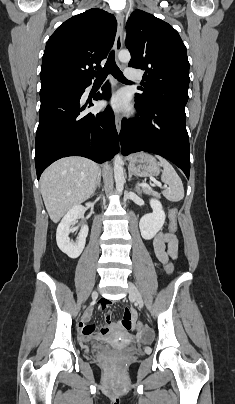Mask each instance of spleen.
Masks as SVG:
<instances>
[{
  "label": "spleen",
  "mask_w": 235,
  "mask_h": 404,
  "mask_svg": "<svg viewBox=\"0 0 235 404\" xmlns=\"http://www.w3.org/2000/svg\"><path fill=\"white\" fill-rule=\"evenodd\" d=\"M157 158L163 166L161 180L163 183L169 186L168 189L162 192L163 195L166 199L172 202H178L182 200L184 197V187L180 177L166 159L160 156H157Z\"/></svg>",
  "instance_id": "1"
}]
</instances>
